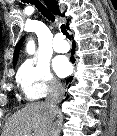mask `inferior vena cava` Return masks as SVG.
Listing matches in <instances>:
<instances>
[{"label":"inferior vena cava","instance_id":"602c4592","mask_svg":"<svg viewBox=\"0 0 117 136\" xmlns=\"http://www.w3.org/2000/svg\"><path fill=\"white\" fill-rule=\"evenodd\" d=\"M64 97V89L61 84L55 83L53 90L49 97L46 99V103L53 107L59 103ZM46 136H57V130L55 127V114L52 109L46 110Z\"/></svg>","mask_w":117,"mask_h":136}]
</instances>
